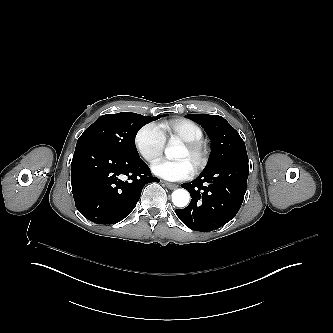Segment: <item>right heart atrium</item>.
<instances>
[{
    "label": "right heart atrium",
    "instance_id": "1",
    "mask_svg": "<svg viewBox=\"0 0 333 333\" xmlns=\"http://www.w3.org/2000/svg\"><path fill=\"white\" fill-rule=\"evenodd\" d=\"M134 144L139 155L149 167H153L162 157L165 137L157 125L150 123L139 130L135 136Z\"/></svg>",
    "mask_w": 333,
    "mask_h": 333
}]
</instances>
